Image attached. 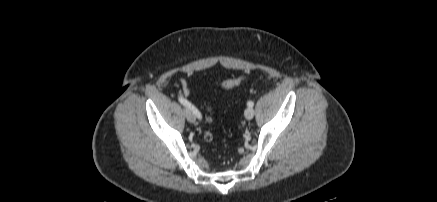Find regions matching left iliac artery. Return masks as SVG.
<instances>
[{"label":"left iliac artery","mask_w":437,"mask_h":202,"mask_svg":"<svg viewBox=\"0 0 437 202\" xmlns=\"http://www.w3.org/2000/svg\"><path fill=\"white\" fill-rule=\"evenodd\" d=\"M247 105H248L249 107H253V106H254V102H253V101H249V102L247 103Z\"/></svg>","instance_id":"1"}]
</instances>
